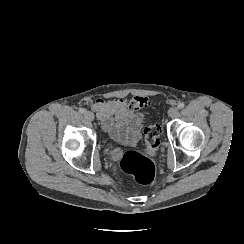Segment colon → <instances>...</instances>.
<instances>
[{"instance_id":"1","label":"colon","mask_w":244,"mask_h":244,"mask_svg":"<svg viewBox=\"0 0 244 244\" xmlns=\"http://www.w3.org/2000/svg\"><path fill=\"white\" fill-rule=\"evenodd\" d=\"M151 104V98L146 96H135L130 101V108L133 111L146 108ZM161 128L153 120L146 119L144 122V142L148 152L156 151L161 145ZM121 168L126 173L136 175L137 182L147 185L155 179L154 162L142 154L134 151L127 152L121 160Z\"/></svg>"}]
</instances>
